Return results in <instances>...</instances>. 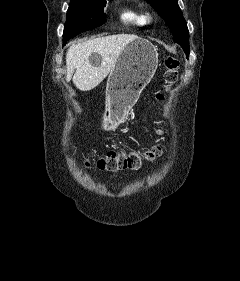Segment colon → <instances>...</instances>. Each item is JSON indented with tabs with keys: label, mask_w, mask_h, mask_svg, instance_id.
I'll list each match as a JSON object with an SVG mask.
<instances>
[{
	"label": "colon",
	"mask_w": 240,
	"mask_h": 281,
	"mask_svg": "<svg viewBox=\"0 0 240 281\" xmlns=\"http://www.w3.org/2000/svg\"><path fill=\"white\" fill-rule=\"evenodd\" d=\"M164 66L165 89L159 92L156 96L159 102H163L165 100L166 91L177 82L180 62L176 57L168 56L165 58ZM160 154V144H156L144 151L113 150L100 156L96 161H94V164L101 170L112 172L127 169L134 170L140 168L145 161H154ZM87 164L89 165L88 162Z\"/></svg>",
	"instance_id": "5ec220e1"
}]
</instances>
